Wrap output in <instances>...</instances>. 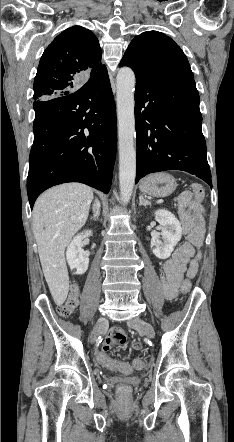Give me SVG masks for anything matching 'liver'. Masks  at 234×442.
<instances>
[{
	"label": "liver",
	"mask_w": 234,
	"mask_h": 442,
	"mask_svg": "<svg viewBox=\"0 0 234 442\" xmlns=\"http://www.w3.org/2000/svg\"><path fill=\"white\" fill-rule=\"evenodd\" d=\"M93 189L81 183H66L43 193L33 209V233L44 277L56 305L69 291L65 248L87 221Z\"/></svg>",
	"instance_id": "6515ba94"
}]
</instances>
